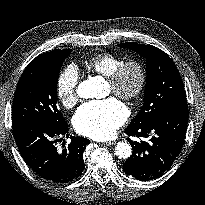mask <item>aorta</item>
<instances>
[{
  "label": "aorta",
  "instance_id": "obj_1",
  "mask_svg": "<svg viewBox=\"0 0 205 205\" xmlns=\"http://www.w3.org/2000/svg\"><path fill=\"white\" fill-rule=\"evenodd\" d=\"M105 84L99 77H92L82 81L77 87V95L80 98H95L102 94ZM115 154L120 159H128L132 154L131 145L126 142H118L115 147Z\"/></svg>",
  "mask_w": 205,
  "mask_h": 205
}]
</instances>
